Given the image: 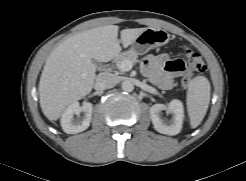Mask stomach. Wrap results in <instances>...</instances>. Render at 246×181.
<instances>
[{
    "label": "stomach",
    "mask_w": 246,
    "mask_h": 181,
    "mask_svg": "<svg viewBox=\"0 0 246 181\" xmlns=\"http://www.w3.org/2000/svg\"><path fill=\"white\" fill-rule=\"evenodd\" d=\"M168 41L169 34L166 31L148 28L131 44V51L137 54H145L150 49L164 45Z\"/></svg>",
    "instance_id": "stomach-1"
}]
</instances>
